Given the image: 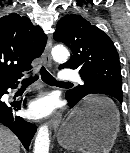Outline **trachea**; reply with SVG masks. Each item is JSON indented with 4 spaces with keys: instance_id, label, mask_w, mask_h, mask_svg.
I'll list each match as a JSON object with an SVG mask.
<instances>
[{
    "instance_id": "obj_1",
    "label": "trachea",
    "mask_w": 130,
    "mask_h": 153,
    "mask_svg": "<svg viewBox=\"0 0 130 153\" xmlns=\"http://www.w3.org/2000/svg\"><path fill=\"white\" fill-rule=\"evenodd\" d=\"M40 75L42 80L49 85H55V86H65V85H71L69 82H59L57 81L44 67L40 69ZM39 78V75L35 74H29L27 78L23 79L22 83L24 85H30L34 83Z\"/></svg>"
}]
</instances>
